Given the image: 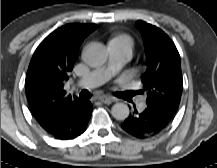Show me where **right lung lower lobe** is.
<instances>
[{"instance_id": "right-lung-lower-lobe-1", "label": "right lung lower lobe", "mask_w": 217, "mask_h": 168, "mask_svg": "<svg viewBox=\"0 0 217 168\" xmlns=\"http://www.w3.org/2000/svg\"><path fill=\"white\" fill-rule=\"evenodd\" d=\"M92 114V104L85 100L81 105L64 109L43 129L52 137L60 140L74 139L87 128Z\"/></svg>"}]
</instances>
